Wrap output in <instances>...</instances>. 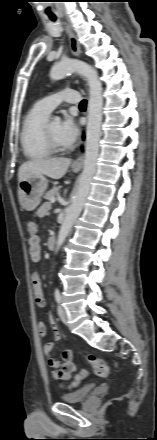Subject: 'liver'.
Segmentation results:
<instances>
[{"instance_id": "1", "label": "liver", "mask_w": 157, "mask_h": 440, "mask_svg": "<svg viewBox=\"0 0 157 440\" xmlns=\"http://www.w3.org/2000/svg\"><path fill=\"white\" fill-rule=\"evenodd\" d=\"M71 164L68 158L33 159L23 163L18 171V181L28 179L33 175H46L52 179H61Z\"/></svg>"}]
</instances>
